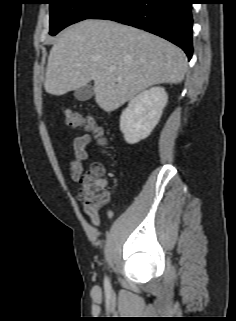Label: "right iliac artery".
Wrapping results in <instances>:
<instances>
[{
  "label": "right iliac artery",
  "instance_id": "82829eb1",
  "mask_svg": "<svg viewBox=\"0 0 236 321\" xmlns=\"http://www.w3.org/2000/svg\"><path fill=\"white\" fill-rule=\"evenodd\" d=\"M104 286L106 290H110V283L107 277L104 280Z\"/></svg>",
  "mask_w": 236,
  "mask_h": 321
}]
</instances>
